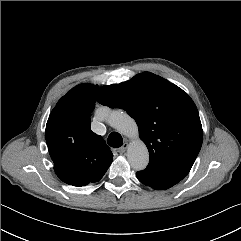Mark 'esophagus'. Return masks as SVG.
<instances>
[{
  "mask_svg": "<svg viewBox=\"0 0 241 241\" xmlns=\"http://www.w3.org/2000/svg\"><path fill=\"white\" fill-rule=\"evenodd\" d=\"M128 142L126 141L124 144H123V146L122 147H120L117 151L119 152V153H124L126 150H127V148H128Z\"/></svg>",
  "mask_w": 241,
  "mask_h": 241,
  "instance_id": "34e87169",
  "label": "esophagus"
}]
</instances>
